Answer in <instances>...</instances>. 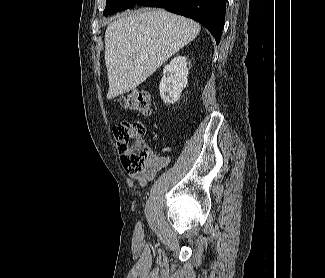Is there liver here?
Instances as JSON below:
<instances>
[{
	"label": "liver",
	"mask_w": 325,
	"mask_h": 278,
	"mask_svg": "<svg viewBox=\"0 0 325 278\" xmlns=\"http://www.w3.org/2000/svg\"><path fill=\"white\" fill-rule=\"evenodd\" d=\"M200 25L163 9L128 12L105 31L107 99L134 90L197 37Z\"/></svg>",
	"instance_id": "obj_1"
}]
</instances>
